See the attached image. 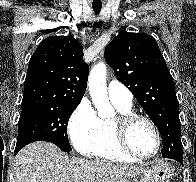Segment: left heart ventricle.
Wrapping results in <instances>:
<instances>
[{
    "instance_id": "b2bd125f",
    "label": "left heart ventricle",
    "mask_w": 196,
    "mask_h": 182,
    "mask_svg": "<svg viewBox=\"0 0 196 182\" xmlns=\"http://www.w3.org/2000/svg\"><path fill=\"white\" fill-rule=\"evenodd\" d=\"M131 148L141 154L150 155L156 149V137L152 128L144 121L134 123L128 132Z\"/></svg>"
}]
</instances>
